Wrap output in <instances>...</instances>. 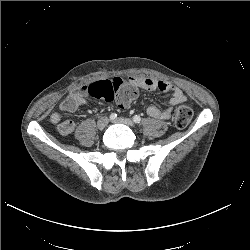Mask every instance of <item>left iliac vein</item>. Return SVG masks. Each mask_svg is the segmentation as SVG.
<instances>
[{
	"mask_svg": "<svg viewBox=\"0 0 250 250\" xmlns=\"http://www.w3.org/2000/svg\"><path fill=\"white\" fill-rule=\"evenodd\" d=\"M112 122L119 123V124H124V125H127V126L131 127V128L135 127L134 123L128 118L120 117V118L112 120Z\"/></svg>",
	"mask_w": 250,
	"mask_h": 250,
	"instance_id": "1",
	"label": "left iliac vein"
}]
</instances>
